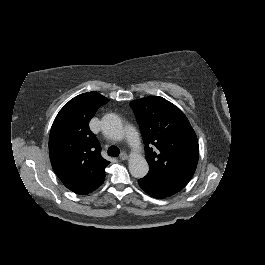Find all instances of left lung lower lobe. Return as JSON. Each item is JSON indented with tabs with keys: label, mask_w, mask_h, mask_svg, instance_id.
<instances>
[{
	"label": "left lung lower lobe",
	"mask_w": 265,
	"mask_h": 265,
	"mask_svg": "<svg viewBox=\"0 0 265 265\" xmlns=\"http://www.w3.org/2000/svg\"><path fill=\"white\" fill-rule=\"evenodd\" d=\"M140 187L155 198H165L182 190L187 183L167 182L149 175L138 180Z\"/></svg>",
	"instance_id": "0a47b994"
}]
</instances>
